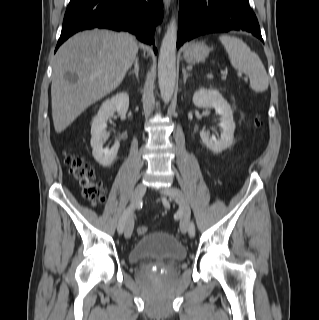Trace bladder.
Returning <instances> with one entry per match:
<instances>
[{
    "label": "bladder",
    "mask_w": 319,
    "mask_h": 320,
    "mask_svg": "<svg viewBox=\"0 0 319 320\" xmlns=\"http://www.w3.org/2000/svg\"><path fill=\"white\" fill-rule=\"evenodd\" d=\"M186 248L169 234L151 231L144 234L129 254L132 263L138 264L152 256L169 261H180L186 257Z\"/></svg>",
    "instance_id": "31cf9c89"
}]
</instances>
